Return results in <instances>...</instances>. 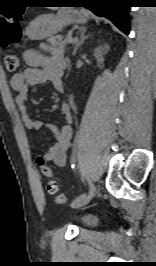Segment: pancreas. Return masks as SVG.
I'll list each match as a JSON object with an SVG mask.
<instances>
[{
	"instance_id": "obj_1",
	"label": "pancreas",
	"mask_w": 156,
	"mask_h": 266,
	"mask_svg": "<svg viewBox=\"0 0 156 266\" xmlns=\"http://www.w3.org/2000/svg\"><path fill=\"white\" fill-rule=\"evenodd\" d=\"M47 42H48V46L44 45V48L49 51L55 48H65L68 43L67 39L63 41L62 36L60 35L51 36L50 38H48Z\"/></svg>"
}]
</instances>
